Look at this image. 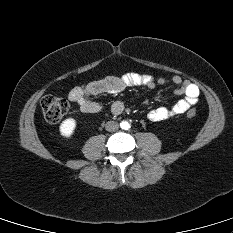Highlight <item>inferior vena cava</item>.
<instances>
[{"mask_svg": "<svg viewBox=\"0 0 233 233\" xmlns=\"http://www.w3.org/2000/svg\"><path fill=\"white\" fill-rule=\"evenodd\" d=\"M105 128L109 132H114V131L118 130L119 124L117 122H115V121H108L105 124Z\"/></svg>", "mask_w": 233, "mask_h": 233, "instance_id": "obj_1", "label": "inferior vena cava"}]
</instances>
